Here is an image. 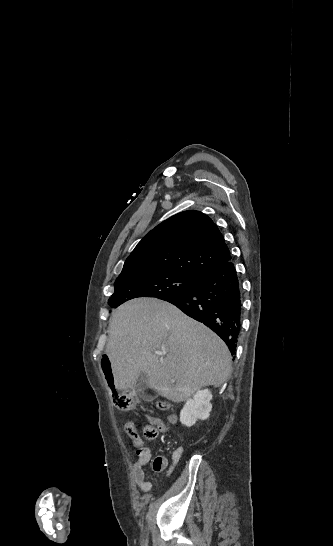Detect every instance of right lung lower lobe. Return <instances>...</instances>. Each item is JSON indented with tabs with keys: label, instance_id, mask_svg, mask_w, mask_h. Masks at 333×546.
I'll return each instance as SVG.
<instances>
[{
	"label": "right lung lower lobe",
	"instance_id": "right-lung-lower-lobe-1",
	"mask_svg": "<svg viewBox=\"0 0 333 546\" xmlns=\"http://www.w3.org/2000/svg\"><path fill=\"white\" fill-rule=\"evenodd\" d=\"M217 333L236 354L241 329V285L228 261L204 274L189 291L164 299Z\"/></svg>",
	"mask_w": 333,
	"mask_h": 546
}]
</instances>
